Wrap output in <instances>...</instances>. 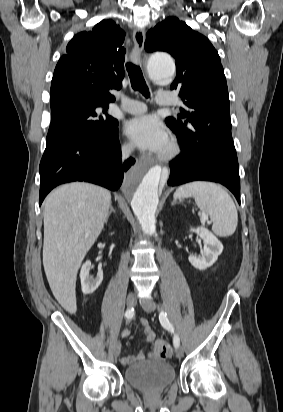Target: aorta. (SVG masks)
I'll return each mask as SVG.
<instances>
[{
  "label": "aorta",
  "mask_w": 283,
  "mask_h": 412,
  "mask_svg": "<svg viewBox=\"0 0 283 412\" xmlns=\"http://www.w3.org/2000/svg\"><path fill=\"white\" fill-rule=\"evenodd\" d=\"M148 77L156 83H168L175 74V63L166 53H155L145 62ZM162 168L158 165L131 170L123 183L124 193L131 198V206L142 230L156 232L155 212L158 205V186Z\"/></svg>",
  "instance_id": "762f6f07"
}]
</instances>
